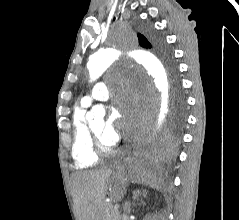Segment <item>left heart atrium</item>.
<instances>
[{
  "label": "left heart atrium",
  "instance_id": "1",
  "mask_svg": "<svg viewBox=\"0 0 239 220\" xmlns=\"http://www.w3.org/2000/svg\"><path fill=\"white\" fill-rule=\"evenodd\" d=\"M131 107L132 103L127 98L116 100L115 107H113L102 132L103 139L109 144L113 145L119 141L121 130L129 132L135 126L133 119L127 116Z\"/></svg>",
  "mask_w": 239,
  "mask_h": 220
}]
</instances>
